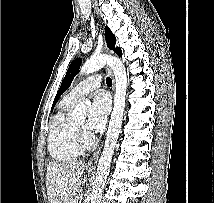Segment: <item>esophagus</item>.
Returning a JSON list of instances; mask_svg holds the SVG:
<instances>
[{
  "mask_svg": "<svg viewBox=\"0 0 214 203\" xmlns=\"http://www.w3.org/2000/svg\"><path fill=\"white\" fill-rule=\"evenodd\" d=\"M107 72H108V74H109V75L111 76V78H112V82H113L112 89L114 90V88H115V80H114L113 73H112V71H111L110 68H107ZM100 150H101V149L99 148V149L94 153V155L91 157V159L89 160V162H88V166H89V167H94L96 158H97V156L99 155Z\"/></svg>",
  "mask_w": 214,
  "mask_h": 203,
  "instance_id": "esophagus-1",
  "label": "esophagus"
}]
</instances>
